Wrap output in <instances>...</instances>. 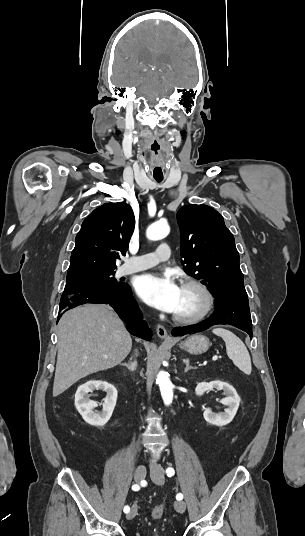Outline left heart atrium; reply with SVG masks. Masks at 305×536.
<instances>
[{"instance_id": "39dd6f15", "label": "left heart atrium", "mask_w": 305, "mask_h": 536, "mask_svg": "<svg viewBox=\"0 0 305 536\" xmlns=\"http://www.w3.org/2000/svg\"><path fill=\"white\" fill-rule=\"evenodd\" d=\"M135 290L143 301L169 313L176 310L180 301V286L170 272L141 275L136 281Z\"/></svg>"}]
</instances>
